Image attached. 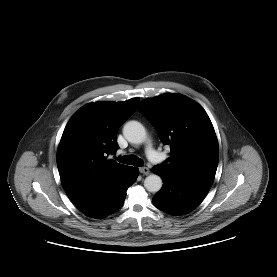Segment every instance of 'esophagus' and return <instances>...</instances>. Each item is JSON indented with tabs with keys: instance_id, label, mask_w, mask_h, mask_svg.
I'll return each instance as SVG.
<instances>
[{
	"instance_id": "1",
	"label": "esophagus",
	"mask_w": 277,
	"mask_h": 277,
	"mask_svg": "<svg viewBox=\"0 0 277 277\" xmlns=\"http://www.w3.org/2000/svg\"><path fill=\"white\" fill-rule=\"evenodd\" d=\"M139 171L142 173V174H145V175H148L150 173V170L148 167H141L139 169Z\"/></svg>"
}]
</instances>
